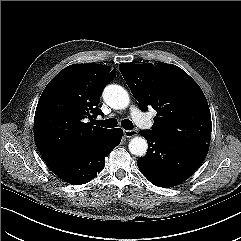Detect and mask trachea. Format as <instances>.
<instances>
[{
    "instance_id": "obj_1",
    "label": "trachea",
    "mask_w": 241,
    "mask_h": 241,
    "mask_svg": "<svg viewBox=\"0 0 241 241\" xmlns=\"http://www.w3.org/2000/svg\"><path fill=\"white\" fill-rule=\"evenodd\" d=\"M94 123H95V125L106 127V128H114L117 126V120L113 119V118L107 119L105 121H95ZM121 125L126 130L133 129V123L128 119H124L121 122Z\"/></svg>"
}]
</instances>
